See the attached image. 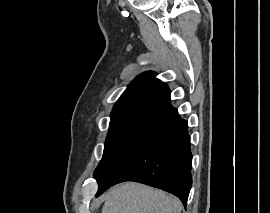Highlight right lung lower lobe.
Here are the masks:
<instances>
[{"instance_id": "right-lung-lower-lobe-1", "label": "right lung lower lobe", "mask_w": 270, "mask_h": 213, "mask_svg": "<svg viewBox=\"0 0 270 213\" xmlns=\"http://www.w3.org/2000/svg\"><path fill=\"white\" fill-rule=\"evenodd\" d=\"M191 167L187 121L166 102L152 110L95 177L96 196L114 184L135 181L170 192L186 206Z\"/></svg>"}]
</instances>
